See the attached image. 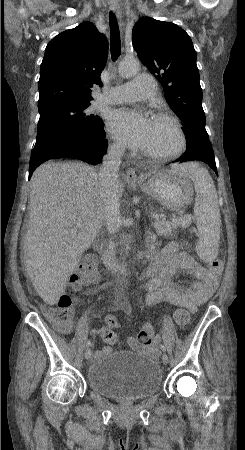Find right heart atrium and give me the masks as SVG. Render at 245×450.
I'll list each match as a JSON object with an SVG mask.
<instances>
[{
    "mask_svg": "<svg viewBox=\"0 0 245 450\" xmlns=\"http://www.w3.org/2000/svg\"><path fill=\"white\" fill-rule=\"evenodd\" d=\"M113 148H114L115 150H121V149H122V146H121L120 143L114 142V143H113Z\"/></svg>",
    "mask_w": 245,
    "mask_h": 450,
    "instance_id": "1",
    "label": "right heart atrium"
}]
</instances>
